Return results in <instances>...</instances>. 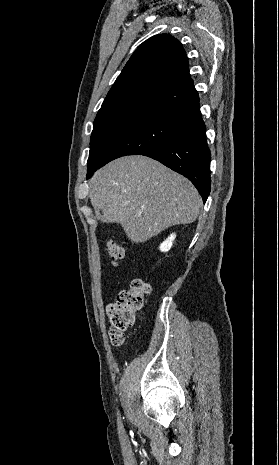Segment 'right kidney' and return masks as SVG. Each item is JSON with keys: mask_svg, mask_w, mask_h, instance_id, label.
Instances as JSON below:
<instances>
[{"mask_svg": "<svg viewBox=\"0 0 279 465\" xmlns=\"http://www.w3.org/2000/svg\"><path fill=\"white\" fill-rule=\"evenodd\" d=\"M176 238V235L173 233L171 234L162 244H160V251L162 252H168L173 244L174 239Z\"/></svg>", "mask_w": 279, "mask_h": 465, "instance_id": "right-kidney-1", "label": "right kidney"}]
</instances>
